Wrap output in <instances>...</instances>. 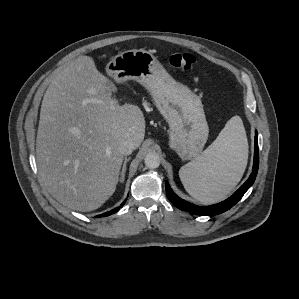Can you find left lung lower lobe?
Returning a JSON list of instances; mask_svg holds the SVG:
<instances>
[{"label": "left lung lower lobe", "mask_w": 299, "mask_h": 299, "mask_svg": "<svg viewBox=\"0 0 299 299\" xmlns=\"http://www.w3.org/2000/svg\"><path fill=\"white\" fill-rule=\"evenodd\" d=\"M257 132L255 133V150H254V163H253V169L252 173L249 177V179L228 199H226L223 202H220L215 205L206 206V207H200L194 204H191L185 200H182L180 197H178L176 194L173 193L172 189L170 188L168 182L165 183L166 185V195L168 199L178 207L179 209L183 211H187L193 214L197 215H217L220 213H223L227 210H229L231 207H233L245 194V192L251 187V185L254 183L258 167H259V151H258V140H257Z\"/></svg>", "instance_id": "obj_1"}]
</instances>
